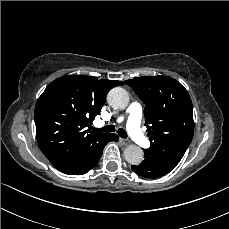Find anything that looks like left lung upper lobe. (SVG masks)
Here are the masks:
<instances>
[{
  "instance_id": "5c2ea615",
  "label": "left lung upper lobe",
  "mask_w": 229,
  "mask_h": 229,
  "mask_svg": "<svg viewBox=\"0 0 229 229\" xmlns=\"http://www.w3.org/2000/svg\"><path fill=\"white\" fill-rule=\"evenodd\" d=\"M145 103V126L151 146L144 157L169 173L179 163L194 133L193 106L187 90L167 76H142L126 80Z\"/></svg>"
}]
</instances>
